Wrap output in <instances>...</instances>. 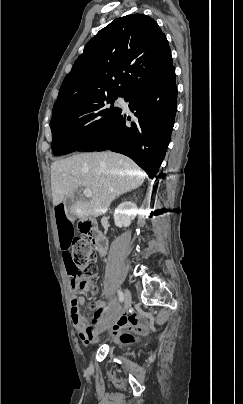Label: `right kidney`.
Here are the masks:
<instances>
[{"label":"right kidney","mask_w":243,"mask_h":404,"mask_svg":"<svg viewBox=\"0 0 243 404\" xmlns=\"http://www.w3.org/2000/svg\"><path fill=\"white\" fill-rule=\"evenodd\" d=\"M130 206V202H124V204H120V206L116 208L114 220L115 226H118V228H127V226H130L132 220H134L136 214L135 212H129Z\"/></svg>","instance_id":"right-kidney-1"}]
</instances>
